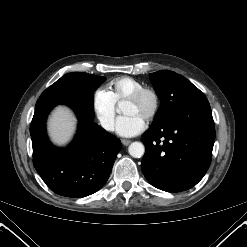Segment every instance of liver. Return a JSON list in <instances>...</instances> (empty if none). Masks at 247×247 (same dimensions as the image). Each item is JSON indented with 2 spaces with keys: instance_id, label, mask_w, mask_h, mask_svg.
I'll return each instance as SVG.
<instances>
[{
  "instance_id": "liver-1",
  "label": "liver",
  "mask_w": 247,
  "mask_h": 247,
  "mask_svg": "<svg viewBox=\"0 0 247 247\" xmlns=\"http://www.w3.org/2000/svg\"><path fill=\"white\" fill-rule=\"evenodd\" d=\"M76 126V119L70 109L64 106L57 107L51 114L48 122L49 134L52 140L59 145L65 144L72 137Z\"/></svg>"
}]
</instances>
